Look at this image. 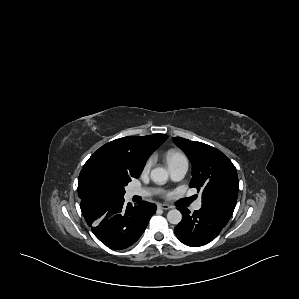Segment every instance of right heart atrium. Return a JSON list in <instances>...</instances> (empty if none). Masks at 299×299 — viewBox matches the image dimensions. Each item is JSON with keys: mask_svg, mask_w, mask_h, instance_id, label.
Returning <instances> with one entry per match:
<instances>
[{"mask_svg": "<svg viewBox=\"0 0 299 299\" xmlns=\"http://www.w3.org/2000/svg\"><path fill=\"white\" fill-rule=\"evenodd\" d=\"M152 164H153V159L149 158L144 165V172H148L151 169Z\"/></svg>", "mask_w": 299, "mask_h": 299, "instance_id": "right-heart-atrium-1", "label": "right heart atrium"}]
</instances>
